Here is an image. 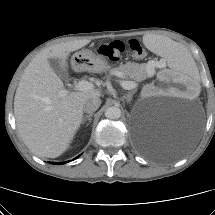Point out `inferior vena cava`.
<instances>
[{
  "mask_svg": "<svg viewBox=\"0 0 215 215\" xmlns=\"http://www.w3.org/2000/svg\"><path fill=\"white\" fill-rule=\"evenodd\" d=\"M101 104V99L99 97H93L86 100L83 104V111L86 113H93L96 111Z\"/></svg>",
  "mask_w": 215,
  "mask_h": 215,
  "instance_id": "602c4592",
  "label": "inferior vena cava"
}]
</instances>
